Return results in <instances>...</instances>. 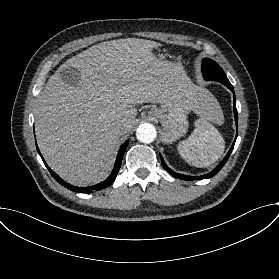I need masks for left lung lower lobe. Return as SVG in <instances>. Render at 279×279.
<instances>
[{"mask_svg":"<svg viewBox=\"0 0 279 279\" xmlns=\"http://www.w3.org/2000/svg\"><path fill=\"white\" fill-rule=\"evenodd\" d=\"M227 87L234 93V89H233L232 85L227 86ZM233 98H234V107H233L234 108V117H235L236 126L238 127V114H237V110H236L235 95H233ZM236 138H237V134H236ZM236 138H235L229 152L225 156V158L219 163V165L212 172H210L208 174L201 175V176H187V175H183V174H178V173L172 171L169 167H167L163 158L161 157L162 165L172 176L182 179V180H201V179L210 178V177L214 176L215 174H217L222 169V167L225 165V163L227 162V160L233 150Z\"/></svg>","mask_w":279,"mask_h":279,"instance_id":"1","label":"left lung lower lobe"}]
</instances>
